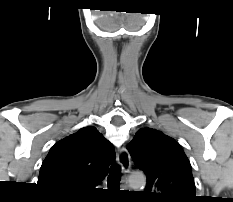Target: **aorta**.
Returning a JSON list of instances; mask_svg holds the SVG:
<instances>
[{"mask_svg":"<svg viewBox=\"0 0 233 202\" xmlns=\"http://www.w3.org/2000/svg\"><path fill=\"white\" fill-rule=\"evenodd\" d=\"M129 186L131 187V188H134V189H136V188H140V187H143V186H145V184H146V179H145V177L143 176V175H132V176H130V178H129Z\"/></svg>","mask_w":233,"mask_h":202,"instance_id":"obj_1","label":"aorta"}]
</instances>
